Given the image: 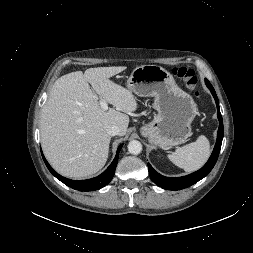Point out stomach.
I'll return each instance as SVG.
<instances>
[{
	"mask_svg": "<svg viewBox=\"0 0 253 253\" xmlns=\"http://www.w3.org/2000/svg\"><path fill=\"white\" fill-rule=\"evenodd\" d=\"M128 90L140 97H154L158 114L141 128L149 142L162 149L182 144L191 134L197 114L193 98L178 87L173 76L159 65L136 67L127 79Z\"/></svg>",
	"mask_w": 253,
	"mask_h": 253,
	"instance_id": "stomach-1",
	"label": "stomach"
}]
</instances>
